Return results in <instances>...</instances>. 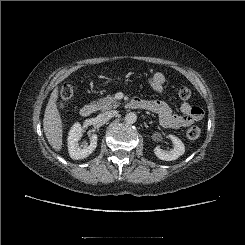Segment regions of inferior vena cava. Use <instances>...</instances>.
Segmentation results:
<instances>
[{
  "mask_svg": "<svg viewBox=\"0 0 245 245\" xmlns=\"http://www.w3.org/2000/svg\"><path fill=\"white\" fill-rule=\"evenodd\" d=\"M117 114V111H106L98 115V119L100 121H107L114 117Z\"/></svg>",
  "mask_w": 245,
  "mask_h": 245,
  "instance_id": "inferior-vena-cava-1",
  "label": "inferior vena cava"
}]
</instances>
